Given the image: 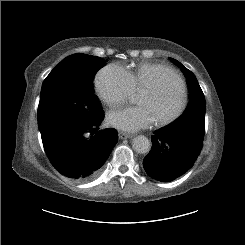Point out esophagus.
Masks as SVG:
<instances>
[{"label": "esophagus", "mask_w": 245, "mask_h": 245, "mask_svg": "<svg viewBox=\"0 0 245 245\" xmlns=\"http://www.w3.org/2000/svg\"><path fill=\"white\" fill-rule=\"evenodd\" d=\"M119 139H127V138H132V134L124 133V132H119L118 133Z\"/></svg>", "instance_id": "34e87169"}]
</instances>
